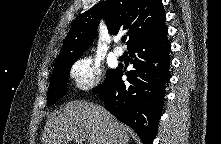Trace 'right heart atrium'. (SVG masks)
<instances>
[{
  "label": "right heart atrium",
  "instance_id": "obj_1",
  "mask_svg": "<svg viewBox=\"0 0 221 144\" xmlns=\"http://www.w3.org/2000/svg\"><path fill=\"white\" fill-rule=\"evenodd\" d=\"M70 76L78 90L89 91L100 82L102 67L93 57L84 56L72 65Z\"/></svg>",
  "mask_w": 221,
  "mask_h": 144
}]
</instances>
